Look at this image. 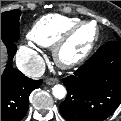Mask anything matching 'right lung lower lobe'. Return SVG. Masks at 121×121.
I'll list each match as a JSON object with an SVG mask.
<instances>
[{"label": "right lung lower lobe", "instance_id": "1", "mask_svg": "<svg viewBox=\"0 0 121 121\" xmlns=\"http://www.w3.org/2000/svg\"><path fill=\"white\" fill-rule=\"evenodd\" d=\"M8 59L12 61L17 50L13 41H3ZM42 84V79L33 80L24 76L9 62L1 76V121H20L28 110L30 93Z\"/></svg>", "mask_w": 121, "mask_h": 121}]
</instances>
